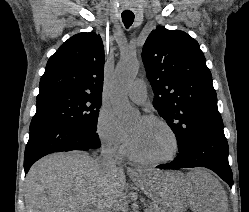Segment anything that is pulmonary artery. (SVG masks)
Returning <instances> with one entry per match:
<instances>
[{
    "label": "pulmonary artery",
    "mask_w": 249,
    "mask_h": 212,
    "mask_svg": "<svg viewBox=\"0 0 249 212\" xmlns=\"http://www.w3.org/2000/svg\"><path fill=\"white\" fill-rule=\"evenodd\" d=\"M129 98L137 103L142 104L147 98L146 83L142 79H137L128 90Z\"/></svg>",
    "instance_id": "pulmonary-artery-1"
}]
</instances>
